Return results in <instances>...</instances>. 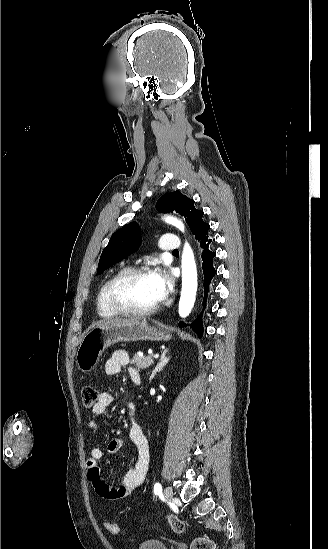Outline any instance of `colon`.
Wrapping results in <instances>:
<instances>
[{
    "mask_svg": "<svg viewBox=\"0 0 328 549\" xmlns=\"http://www.w3.org/2000/svg\"><path fill=\"white\" fill-rule=\"evenodd\" d=\"M99 397V392L96 387L92 385H86L82 389V403L85 408H92L97 402ZM167 521L171 528L177 532L181 533L185 530L184 522L174 515H168ZM105 528L112 534H118L120 532V527L118 524L107 521L105 523ZM213 542L206 536L196 538L192 543V549H213Z\"/></svg>",
    "mask_w": 328,
    "mask_h": 549,
    "instance_id": "colon-1",
    "label": "colon"
}]
</instances>
